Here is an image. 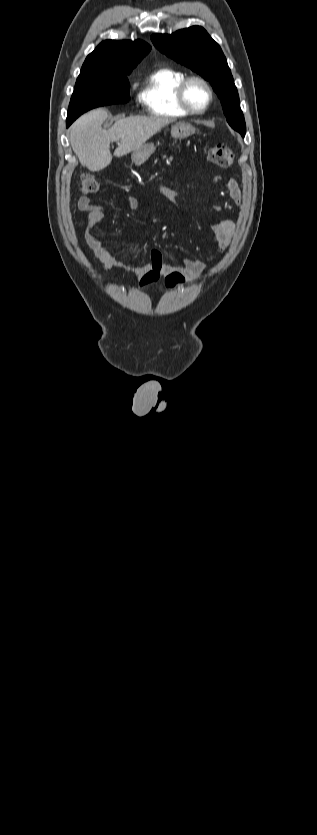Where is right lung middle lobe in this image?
<instances>
[{"label": "right lung middle lobe", "mask_w": 317, "mask_h": 835, "mask_svg": "<svg viewBox=\"0 0 317 835\" xmlns=\"http://www.w3.org/2000/svg\"><path fill=\"white\" fill-rule=\"evenodd\" d=\"M132 69L105 73H80L69 104L66 126L95 107L125 103L129 100V81Z\"/></svg>", "instance_id": "1"}]
</instances>
